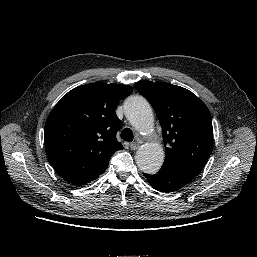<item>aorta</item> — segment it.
I'll return each mask as SVG.
<instances>
[{
  "label": "aorta",
  "mask_w": 257,
  "mask_h": 257,
  "mask_svg": "<svg viewBox=\"0 0 257 257\" xmlns=\"http://www.w3.org/2000/svg\"><path fill=\"white\" fill-rule=\"evenodd\" d=\"M124 113L131 125L139 132L149 133L153 130V112L145 98L135 96L128 99L124 105ZM135 159L141 171L154 174L164 162V151L157 143H146L138 149Z\"/></svg>",
  "instance_id": "1"
}]
</instances>
